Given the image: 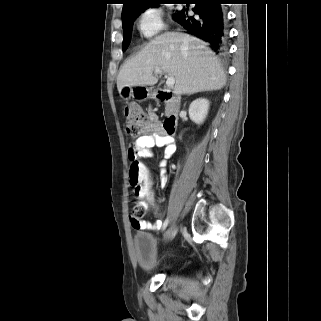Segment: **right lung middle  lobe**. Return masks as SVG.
<instances>
[{"label":"right lung middle lobe","instance_id":"1","mask_svg":"<svg viewBox=\"0 0 321 321\" xmlns=\"http://www.w3.org/2000/svg\"><path fill=\"white\" fill-rule=\"evenodd\" d=\"M160 3H162V2H160ZM160 3H158V4H160ZM143 10H141V11H143ZM141 11L133 12V13L126 14V15L122 16V24H123V46H122V49H123V51H125L130 44L133 22L138 17V15L140 14Z\"/></svg>","mask_w":321,"mask_h":321}]
</instances>
